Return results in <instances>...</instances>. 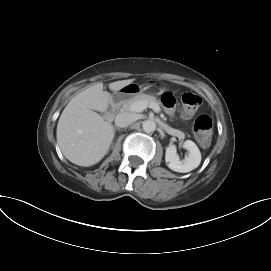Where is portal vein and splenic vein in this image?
<instances>
[{"instance_id": "obj_1", "label": "portal vein and splenic vein", "mask_w": 271, "mask_h": 271, "mask_svg": "<svg viewBox=\"0 0 271 271\" xmlns=\"http://www.w3.org/2000/svg\"><path fill=\"white\" fill-rule=\"evenodd\" d=\"M147 107L151 108L154 112H160V107L154 103L148 105L145 101H137L133 103L130 107V110L133 112H142Z\"/></svg>"}]
</instances>
